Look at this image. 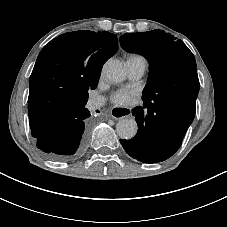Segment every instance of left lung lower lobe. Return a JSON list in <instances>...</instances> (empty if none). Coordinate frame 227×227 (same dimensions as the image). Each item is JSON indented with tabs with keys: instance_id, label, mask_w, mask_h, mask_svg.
<instances>
[{
	"instance_id": "0a47b994",
	"label": "left lung lower lobe",
	"mask_w": 227,
	"mask_h": 227,
	"mask_svg": "<svg viewBox=\"0 0 227 227\" xmlns=\"http://www.w3.org/2000/svg\"><path fill=\"white\" fill-rule=\"evenodd\" d=\"M199 87V83H191L171 97L143 100V106L132 111L138 124L137 134L130 140L120 139L125 151L144 163L171 157L194 119Z\"/></svg>"
}]
</instances>
